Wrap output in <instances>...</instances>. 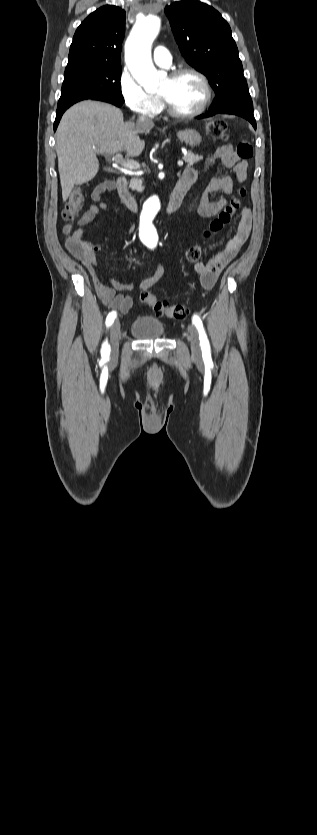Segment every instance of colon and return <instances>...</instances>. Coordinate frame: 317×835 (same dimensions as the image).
<instances>
[{
    "label": "colon",
    "mask_w": 317,
    "mask_h": 835,
    "mask_svg": "<svg viewBox=\"0 0 317 835\" xmlns=\"http://www.w3.org/2000/svg\"><path fill=\"white\" fill-rule=\"evenodd\" d=\"M206 132L209 136L219 139L227 140L230 136V131L227 124L221 120L211 121L206 126ZM237 155L243 160H248L253 156V148L251 144L242 140L237 145ZM246 194L244 188L238 192V197L233 198L228 205H226L218 214V216L210 223L209 228L205 231L206 237H211L223 228L228 226L235 213L240 208V199ZM85 199L84 191L76 187L70 192L66 204L62 210V218L68 223L65 227L67 233L71 230V224L78 217ZM72 247L78 254H85L93 249L92 245L81 239L73 241ZM202 255V249L199 245H194L186 250V257L190 261L198 260ZM140 302L149 306L157 316H165L171 319H182L186 315V308L183 305H171L164 303L152 295L148 290H143L139 295Z\"/></svg>",
    "instance_id": "obj_1"
}]
</instances>
